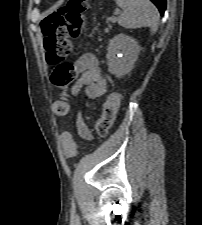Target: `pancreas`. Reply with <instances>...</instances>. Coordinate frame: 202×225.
<instances>
[{"label": "pancreas", "instance_id": "1", "mask_svg": "<svg viewBox=\"0 0 202 225\" xmlns=\"http://www.w3.org/2000/svg\"><path fill=\"white\" fill-rule=\"evenodd\" d=\"M111 21L109 18L107 19V22Z\"/></svg>", "mask_w": 202, "mask_h": 225}]
</instances>
